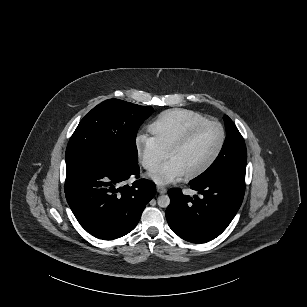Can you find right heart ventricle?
Returning a JSON list of instances; mask_svg holds the SVG:
<instances>
[{
	"mask_svg": "<svg viewBox=\"0 0 307 307\" xmlns=\"http://www.w3.org/2000/svg\"><path fill=\"white\" fill-rule=\"evenodd\" d=\"M205 122L207 119L198 112L175 108L160 113L150 124L149 130L161 150L165 151L175 141Z\"/></svg>",
	"mask_w": 307,
	"mask_h": 307,
	"instance_id": "right-heart-ventricle-1",
	"label": "right heart ventricle"
}]
</instances>
